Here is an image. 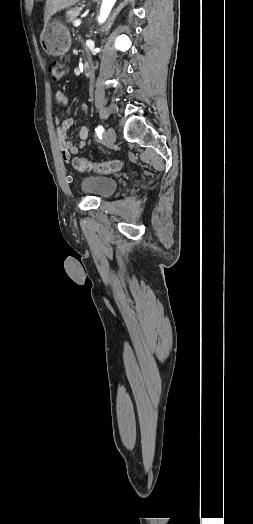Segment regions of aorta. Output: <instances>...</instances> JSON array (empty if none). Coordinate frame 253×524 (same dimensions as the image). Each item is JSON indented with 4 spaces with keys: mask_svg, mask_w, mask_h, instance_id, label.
<instances>
[{
    "mask_svg": "<svg viewBox=\"0 0 253 524\" xmlns=\"http://www.w3.org/2000/svg\"><path fill=\"white\" fill-rule=\"evenodd\" d=\"M116 0H102L100 16L98 18L99 22L102 23L106 20L109 13L111 12Z\"/></svg>",
    "mask_w": 253,
    "mask_h": 524,
    "instance_id": "762f6f07",
    "label": "aorta"
}]
</instances>
